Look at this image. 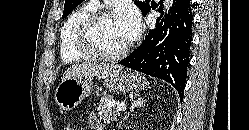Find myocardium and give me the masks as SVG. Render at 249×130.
I'll return each instance as SVG.
<instances>
[{
  "label": "myocardium",
  "mask_w": 249,
  "mask_h": 130,
  "mask_svg": "<svg viewBox=\"0 0 249 130\" xmlns=\"http://www.w3.org/2000/svg\"><path fill=\"white\" fill-rule=\"evenodd\" d=\"M114 15L115 14L111 10L97 9L83 20L77 33V45L83 53L89 57L103 61L119 60L128 54L131 48L130 42L123 49L115 53H107L102 51L94 42L93 34L97 25L102 20Z\"/></svg>",
  "instance_id": "1"
}]
</instances>
